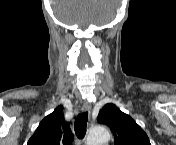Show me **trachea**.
<instances>
[{"label": "trachea", "instance_id": "trachea-1", "mask_svg": "<svg viewBox=\"0 0 176 145\" xmlns=\"http://www.w3.org/2000/svg\"><path fill=\"white\" fill-rule=\"evenodd\" d=\"M88 121V112L80 113L74 124V130L78 139L82 140L86 134V125Z\"/></svg>", "mask_w": 176, "mask_h": 145}]
</instances>
